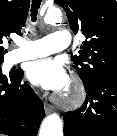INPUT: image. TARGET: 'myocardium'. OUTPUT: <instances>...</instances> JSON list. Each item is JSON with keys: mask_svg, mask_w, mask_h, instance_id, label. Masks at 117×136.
I'll use <instances>...</instances> for the list:
<instances>
[{"mask_svg": "<svg viewBox=\"0 0 117 136\" xmlns=\"http://www.w3.org/2000/svg\"><path fill=\"white\" fill-rule=\"evenodd\" d=\"M86 96V90L78 77L72 79L71 85L60 94L57 101L65 108H76L80 106Z\"/></svg>", "mask_w": 117, "mask_h": 136, "instance_id": "1", "label": "myocardium"}]
</instances>
